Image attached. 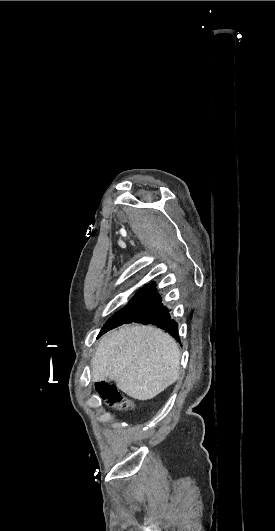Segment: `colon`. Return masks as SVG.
I'll return each instance as SVG.
<instances>
[{
  "label": "colon",
  "instance_id": "obj_1",
  "mask_svg": "<svg viewBox=\"0 0 275 531\" xmlns=\"http://www.w3.org/2000/svg\"><path fill=\"white\" fill-rule=\"evenodd\" d=\"M95 388L97 394L110 407L125 411L133 408L132 401L108 381H99Z\"/></svg>",
  "mask_w": 275,
  "mask_h": 531
}]
</instances>
